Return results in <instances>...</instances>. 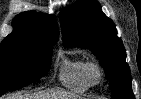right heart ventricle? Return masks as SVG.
I'll return each instance as SVG.
<instances>
[{"label": "right heart ventricle", "instance_id": "1", "mask_svg": "<svg viewBox=\"0 0 141 99\" xmlns=\"http://www.w3.org/2000/svg\"><path fill=\"white\" fill-rule=\"evenodd\" d=\"M87 61L82 57H66L63 59L58 78L68 89L75 92H85L91 85L84 76Z\"/></svg>", "mask_w": 141, "mask_h": 99}]
</instances>
